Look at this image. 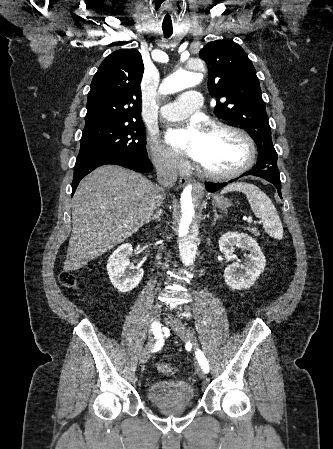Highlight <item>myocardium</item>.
Segmentation results:
<instances>
[{"mask_svg": "<svg viewBox=\"0 0 333 449\" xmlns=\"http://www.w3.org/2000/svg\"><path fill=\"white\" fill-rule=\"evenodd\" d=\"M206 132H224L240 138L246 146L247 154L245 161L239 167L227 172H213L197 162L198 170L205 177L214 181H227L242 175L253 166L256 159V146L254 140L246 131L224 123H212L207 126Z\"/></svg>", "mask_w": 333, "mask_h": 449, "instance_id": "1", "label": "myocardium"}]
</instances>
